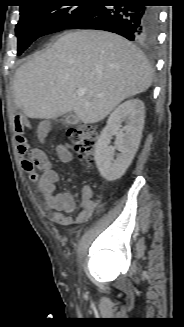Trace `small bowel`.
Wrapping results in <instances>:
<instances>
[{"label":"small bowel","mask_w":184,"mask_h":327,"mask_svg":"<svg viewBox=\"0 0 184 327\" xmlns=\"http://www.w3.org/2000/svg\"><path fill=\"white\" fill-rule=\"evenodd\" d=\"M50 131L51 124L49 122L40 123L36 132L38 139L45 142ZM56 152L58 158L63 163L69 164L72 162V150L68 144L63 143L58 145ZM21 166L28 173L29 179L33 182H37L38 188L43 196L46 215L55 223L64 226H69L73 223H83L92 216L93 212L100 204L99 201L92 200L89 193H84L82 196V209L80 213L75 219L68 217L66 213H72L76 210V201L73 195L68 192H55L59 176L45 152L37 148L32 149L29 158L22 159ZM38 170L41 171L40 174Z\"/></svg>","instance_id":"small-bowel-1"}]
</instances>
